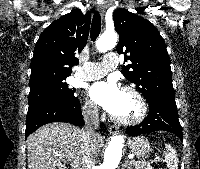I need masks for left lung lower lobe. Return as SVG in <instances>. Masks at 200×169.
<instances>
[{"label":"left lung lower lobe","instance_id":"obj_1","mask_svg":"<svg viewBox=\"0 0 200 169\" xmlns=\"http://www.w3.org/2000/svg\"><path fill=\"white\" fill-rule=\"evenodd\" d=\"M149 114L145 120L136 126L128 127L129 136H138L154 131H168L183 141L182 128L178 119L175 99L154 98L149 102Z\"/></svg>","mask_w":200,"mask_h":169}]
</instances>
